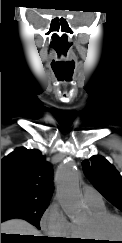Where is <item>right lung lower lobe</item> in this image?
Listing matches in <instances>:
<instances>
[{"mask_svg": "<svg viewBox=\"0 0 122 243\" xmlns=\"http://www.w3.org/2000/svg\"><path fill=\"white\" fill-rule=\"evenodd\" d=\"M12 218H21V219H24V220H26V221H28V222L31 223V221L27 217H24V216L1 214V222L5 221V220H8V219H12ZM40 241L42 243H52L53 242V240L52 239H49L48 237L47 238L40 239Z\"/></svg>", "mask_w": 122, "mask_h": 243, "instance_id": "98d812e1", "label": "right lung lower lobe"}]
</instances>
